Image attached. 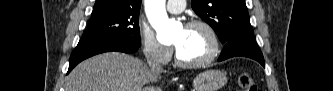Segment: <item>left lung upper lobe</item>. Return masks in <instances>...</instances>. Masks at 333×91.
Returning <instances> with one entry per match:
<instances>
[{
  "label": "left lung upper lobe",
  "mask_w": 333,
  "mask_h": 91,
  "mask_svg": "<svg viewBox=\"0 0 333 91\" xmlns=\"http://www.w3.org/2000/svg\"><path fill=\"white\" fill-rule=\"evenodd\" d=\"M192 8L214 29L222 43L253 33L244 0H192Z\"/></svg>",
  "instance_id": "obj_1"
}]
</instances>
